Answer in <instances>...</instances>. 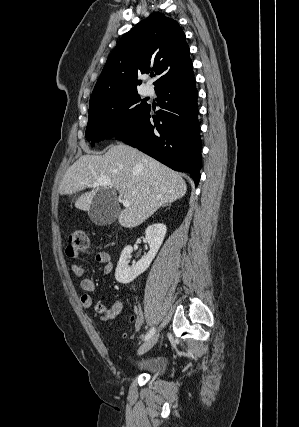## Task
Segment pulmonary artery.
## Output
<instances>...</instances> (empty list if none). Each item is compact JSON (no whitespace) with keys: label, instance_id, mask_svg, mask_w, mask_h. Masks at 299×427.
I'll return each instance as SVG.
<instances>
[{"label":"pulmonary artery","instance_id":"pulmonary-artery-1","mask_svg":"<svg viewBox=\"0 0 299 427\" xmlns=\"http://www.w3.org/2000/svg\"><path fill=\"white\" fill-rule=\"evenodd\" d=\"M151 93H152V88L147 87V88H146V94H147V95H150Z\"/></svg>","mask_w":299,"mask_h":427}]
</instances>
